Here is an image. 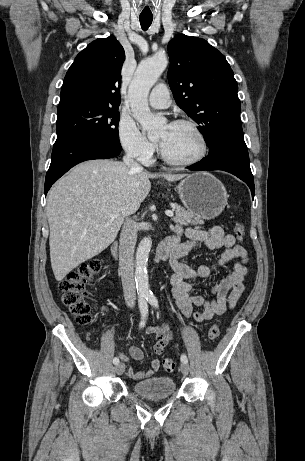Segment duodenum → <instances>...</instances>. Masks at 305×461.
<instances>
[{"label": "duodenum", "mask_w": 305, "mask_h": 461, "mask_svg": "<svg viewBox=\"0 0 305 461\" xmlns=\"http://www.w3.org/2000/svg\"><path fill=\"white\" fill-rule=\"evenodd\" d=\"M179 242V237L176 235L162 241L157 247L155 261L167 260L171 256V252L180 245ZM112 253L115 258L119 257V243L117 241L112 245Z\"/></svg>", "instance_id": "duodenum-1"}]
</instances>
